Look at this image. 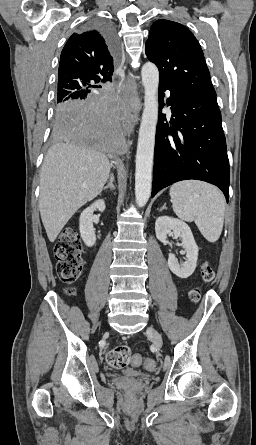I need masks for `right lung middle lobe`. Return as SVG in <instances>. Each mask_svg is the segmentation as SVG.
<instances>
[{"label": "right lung middle lobe", "instance_id": "dd1d6c3e", "mask_svg": "<svg viewBox=\"0 0 256 445\" xmlns=\"http://www.w3.org/2000/svg\"><path fill=\"white\" fill-rule=\"evenodd\" d=\"M72 102V100L70 99L69 101H59L57 100V104H56V112H58L59 110H61L64 106L70 104ZM56 135V134H55ZM58 136V135H56ZM60 137V136H58Z\"/></svg>", "mask_w": 256, "mask_h": 445}]
</instances>
